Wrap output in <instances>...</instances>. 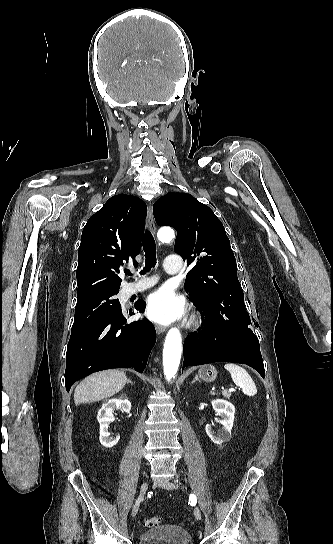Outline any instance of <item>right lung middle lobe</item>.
Wrapping results in <instances>:
<instances>
[{"instance_id": "right-lung-middle-lobe-1", "label": "right lung middle lobe", "mask_w": 333, "mask_h": 544, "mask_svg": "<svg viewBox=\"0 0 333 544\" xmlns=\"http://www.w3.org/2000/svg\"><path fill=\"white\" fill-rule=\"evenodd\" d=\"M118 292H104L78 299L71 332L79 330L99 318L120 311V302L114 297Z\"/></svg>"}]
</instances>
